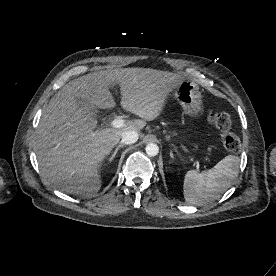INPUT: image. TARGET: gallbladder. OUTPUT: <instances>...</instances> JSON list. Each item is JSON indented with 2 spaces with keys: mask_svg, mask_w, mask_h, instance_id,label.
<instances>
[{
  "mask_svg": "<svg viewBox=\"0 0 276 276\" xmlns=\"http://www.w3.org/2000/svg\"><path fill=\"white\" fill-rule=\"evenodd\" d=\"M77 103L87 112L91 113L92 115H96L97 114V108L93 107L92 105L88 104L86 101L77 98L76 99Z\"/></svg>",
  "mask_w": 276,
  "mask_h": 276,
  "instance_id": "bac80fb5",
  "label": "gallbladder"
}]
</instances>
